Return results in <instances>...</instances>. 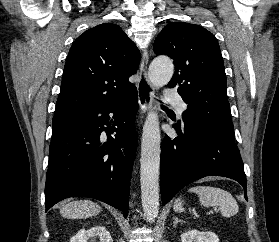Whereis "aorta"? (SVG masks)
Here are the masks:
<instances>
[{
	"label": "aorta",
	"mask_w": 279,
	"mask_h": 242,
	"mask_svg": "<svg viewBox=\"0 0 279 242\" xmlns=\"http://www.w3.org/2000/svg\"><path fill=\"white\" fill-rule=\"evenodd\" d=\"M174 73V65L166 56L153 59L149 66L148 77L151 84L158 88L167 85ZM155 108H151L143 127L140 158L141 200L144 215L153 222L159 211V167H160V127Z\"/></svg>",
	"instance_id": "obj_1"
}]
</instances>
